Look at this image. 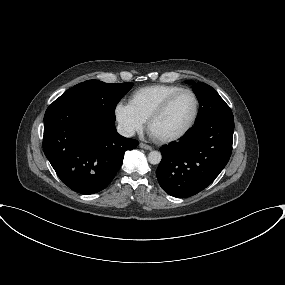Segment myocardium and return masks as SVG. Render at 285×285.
Segmentation results:
<instances>
[{
  "label": "myocardium",
  "mask_w": 285,
  "mask_h": 285,
  "mask_svg": "<svg viewBox=\"0 0 285 285\" xmlns=\"http://www.w3.org/2000/svg\"><path fill=\"white\" fill-rule=\"evenodd\" d=\"M183 93H189L193 96L194 101H195V108H194V113L193 116L190 120V122L188 123V125L179 133L172 135V136H168V137H155L152 135L151 133V126L152 124L159 119L169 108V106L171 105V103L181 94ZM199 111H200V101H199V97L198 95L191 89H180L179 91L171 94L170 96H168L148 117L147 121H146V128L148 133L159 143H163V144H169V143H173L176 141H179L180 139L184 138L195 126L198 116H199Z\"/></svg>",
  "instance_id": "obj_1"
}]
</instances>
